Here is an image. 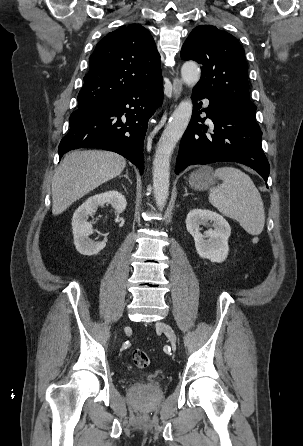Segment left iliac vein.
<instances>
[{"label":"left iliac vein","mask_w":303,"mask_h":446,"mask_svg":"<svg viewBox=\"0 0 303 446\" xmlns=\"http://www.w3.org/2000/svg\"><path fill=\"white\" fill-rule=\"evenodd\" d=\"M156 327L161 330L169 339V341L171 342V344H175L176 343V335L174 330L172 329V327L164 322H157L156 323Z\"/></svg>","instance_id":"4c4485c4"}]
</instances>
